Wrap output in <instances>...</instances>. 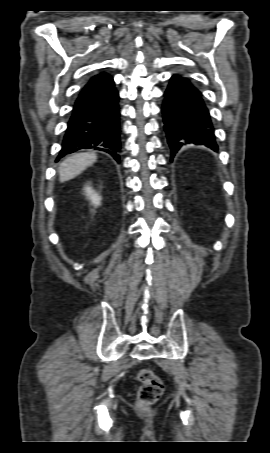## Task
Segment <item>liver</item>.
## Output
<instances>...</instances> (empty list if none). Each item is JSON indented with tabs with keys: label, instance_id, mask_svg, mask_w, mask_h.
<instances>
[{
	"label": "liver",
	"instance_id": "1",
	"mask_svg": "<svg viewBox=\"0 0 270 453\" xmlns=\"http://www.w3.org/2000/svg\"><path fill=\"white\" fill-rule=\"evenodd\" d=\"M97 160L95 153H76L67 157L58 169L59 181L65 182L81 174Z\"/></svg>",
	"mask_w": 270,
	"mask_h": 453
}]
</instances>
